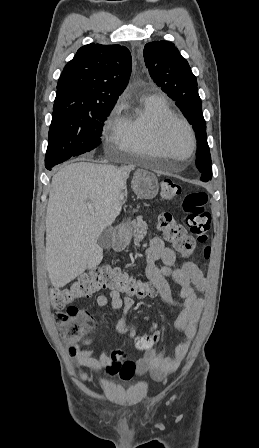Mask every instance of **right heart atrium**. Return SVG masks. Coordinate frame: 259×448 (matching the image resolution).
I'll list each match as a JSON object with an SVG mask.
<instances>
[{
	"mask_svg": "<svg viewBox=\"0 0 259 448\" xmlns=\"http://www.w3.org/2000/svg\"><path fill=\"white\" fill-rule=\"evenodd\" d=\"M119 104L112 109L111 115L105 121L102 129V145L105 149L115 150L123 148V136L115 121Z\"/></svg>",
	"mask_w": 259,
	"mask_h": 448,
	"instance_id": "obj_1",
	"label": "right heart atrium"
}]
</instances>
